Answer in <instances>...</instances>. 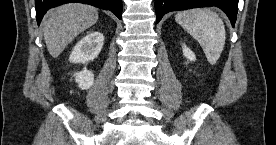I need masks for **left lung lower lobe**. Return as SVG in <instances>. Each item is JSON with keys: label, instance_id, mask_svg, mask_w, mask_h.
Listing matches in <instances>:
<instances>
[{"label": "left lung lower lobe", "instance_id": "obj_1", "mask_svg": "<svg viewBox=\"0 0 276 145\" xmlns=\"http://www.w3.org/2000/svg\"><path fill=\"white\" fill-rule=\"evenodd\" d=\"M208 6L222 9L229 17L232 26L235 25L238 0H155L156 22L158 23L164 14L171 11Z\"/></svg>", "mask_w": 276, "mask_h": 145}]
</instances>
